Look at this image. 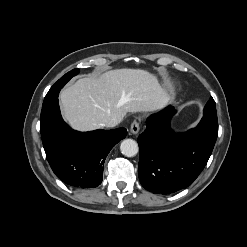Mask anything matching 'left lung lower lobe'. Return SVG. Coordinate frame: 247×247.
<instances>
[{"instance_id":"1","label":"left lung lower lobe","mask_w":247,"mask_h":247,"mask_svg":"<svg viewBox=\"0 0 247 247\" xmlns=\"http://www.w3.org/2000/svg\"><path fill=\"white\" fill-rule=\"evenodd\" d=\"M175 113L168 106L151 115L138 137L139 179L148 191L169 194L189 186L207 164L216 142L218 128L202 122L186 133H174L170 120Z\"/></svg>"}]
</instances>
